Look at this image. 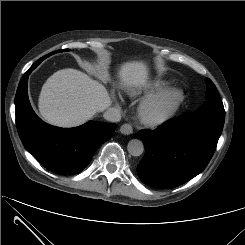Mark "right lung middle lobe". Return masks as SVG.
<instances>
[{
    "label": "right lung middle lobe",
    "instance_id": "obj_1",
    "mask_svg": "<svg viewBox=\"0 0 245 245\" xmlns=\"http://www.w3.org/2000/svg\"><path fill=\"white\" fill-rule=\"evenodd\" d=\"M65 50H69V49H65ZM65 50H59V51H65Z\"/></svg>",
    "mask_w": 245,
    "mask_h": 245
}]
</instances>
